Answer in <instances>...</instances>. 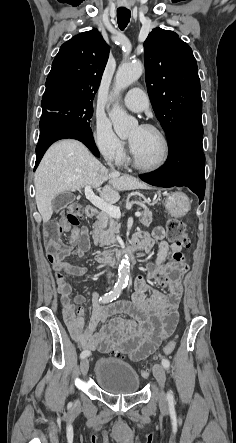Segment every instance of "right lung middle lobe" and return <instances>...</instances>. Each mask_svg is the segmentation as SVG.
<instances>
[{
  "label": "right lung middle lobe",
  "mask_w": 236,
  "mask_h": 443,
  "mask_svg": "<svg viewBox=\"0 0 236 443\" xmlns=\"http://www.w3.org/2000/svg\"><path fill=\"white\" fill-rule=\"evenodd\" d=\"M43 111L58 112L67 117H70L74 122L90 128V119L93 115L92 101L85 98L75 96H55L41 102Z\"/></svg>",
  "instance_id": "1"
}]
</instances>
